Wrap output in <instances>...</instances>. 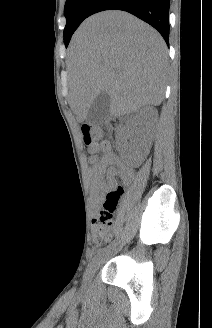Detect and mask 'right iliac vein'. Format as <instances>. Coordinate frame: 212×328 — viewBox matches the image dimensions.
<instances>
[{
  "label": "right iliac vein",
  "mask_w": 212,
  "mask_h": 328,
  "mask_svg": "<svg viewBox=\"0 0 212 328\" xmlns=\"http://www.w3.org/2000/svg\"><path fill=\"white\" fill-rule=\"evenodd\" d=\"M103 256L100 257L87 271L86 276L84 278V284H89L95 274V272L98 270L100 264L102 263Z\"/></svg>",
  "instance_id": "1"
}]
</instances>
